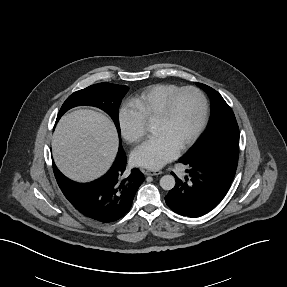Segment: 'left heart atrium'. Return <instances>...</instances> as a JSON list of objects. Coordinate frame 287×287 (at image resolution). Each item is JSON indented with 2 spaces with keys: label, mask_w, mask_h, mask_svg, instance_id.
<instances>
[{
  "label": "left heart atrium",
  "mask_w": 287,
  "mask_h": 287,
  "mask_svg": "<svg viewBox=\"0 0 287 287\" xmlns=\"http://www.w3.org/2000/svg\"><path fill=\"white\" fill-rule=\"evenodd\" d=\"M179 152L168 138L157 136L139 146L132 155L133 162L148 169H159L173 160Z\"/></svg>",
  "instance_id": "1"
}]
</instances>
